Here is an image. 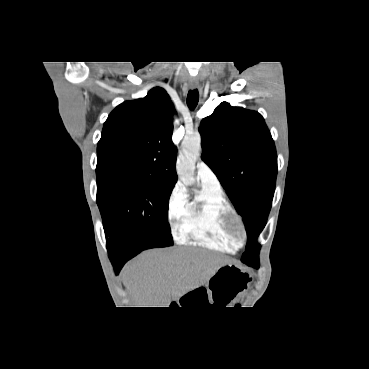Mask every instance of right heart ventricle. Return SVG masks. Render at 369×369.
Listing matches in <instances>:
<instances>
[{
	"label": "right heart ventricle",
	"instance_id": "right-heart-ventricle-1",
	"mask_svg": "<svg viewBox=\"0 0 369 369\" xmlns=\"http://www.w3.org/2000/svg\"><path fill=\"white\" fill-rule=\"evenodd\" d=\"M231 212L221 189L202 185L201 191L187 204L178 224V237L190 245L234 252L239 244L231 237L225 224V218Z\"/></svg>",
	"mask_w": 369,
	"mask_h": 369
}]
</instances>
